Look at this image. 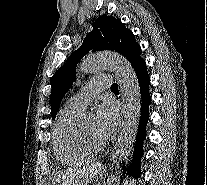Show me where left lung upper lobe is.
<instances>
[{"label":"left lung upper lobe","mask_w":207,"mask_h":185,"mask_svg":"<svg viewBox=\"0 0 207 185\" xmlns=\"http://www.w3.org/2000/svg\"><path fill=\"white\" fill-rule=\"evenodd\" d=\"M91 49L118 52L128 59L135 71L146 65L140 56L141 48L132 31L126 28L120 19L103 14L95 21L93 30L86 35L82 45L69 56L66 64L57 70L51 79L52 118L56 116L64 94L72 86L78 61Z\"/></svg>","instance_id":"5c2ea615"}]
</instances>
